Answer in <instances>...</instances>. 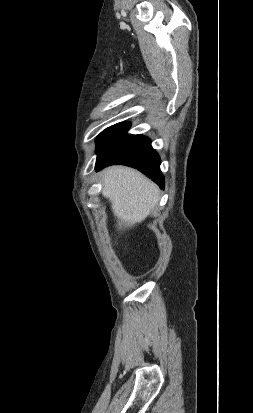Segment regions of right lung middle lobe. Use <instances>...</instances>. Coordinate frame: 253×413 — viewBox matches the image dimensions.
Listing matches in <instances>:
<instances>
[{
    "label": "right lung middle lobe",
    "mask_w": 253,
    "mask_h": 413,
    "mask_svg": "<svg viewBox=\"0 0 253 413\" xmlns=\"http://www.w3.org/2000/svg\"><path fill=\"white\" fill-rule=\"evenodd\" d=\"M129 123H118L113 125L99 134L96 140L97 160L108 155L118 145L128 139L131 134H127Z\"/></svg>",
    "instance_id": "obj_1"
}]
</instances>
